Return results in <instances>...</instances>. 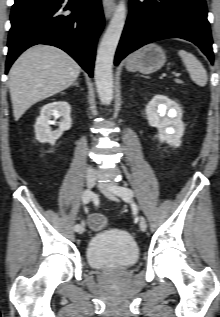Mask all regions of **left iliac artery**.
I'll use <instances>...</instances> for the list:
<instances>
[{"label":"left iliac artery","instance_id":"left-iliac-artery-1","mask_svg":"<svg viewBox=\"0 0 220 317\" xmlns=\"http://www.w3.org/2000/svg\"><path fill=\"white\" fill-rule=\"evenodd\" d=\"M116 194L126 201L134 196V193L131 189L121 186L116 188Z\"/></svg>","mask_w":220,"mask_h":317}]
</instances>
